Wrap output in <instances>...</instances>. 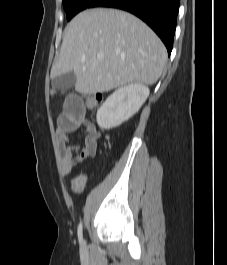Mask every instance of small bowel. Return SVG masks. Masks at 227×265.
Segmentation results:
<instances>
[{
    "mask_svg": "<svg viewBox=\"0 0 227 265\" xmlns=\"http://www.w3.org/2000/svg\"><path fill=\"white\" fill-rule=\"evenodd\" d=\"M65 96L66 99L62 100L64 111L58 118L57 140L62 154L63 172L68 175L77 163L96 155L101 133L93 122L85 118L87 108L83 96H78V91H65ZM80 128L85 132L84 147L67 145L70 135ZM87 180L84 173L76 175L71 181L72 191L75 194L83 192Z\"/></svg>",
    "mask_w": 227,
    "mask_h": 265,
    "instance_id": "1",
    "label": "small bowel"
}]
</instances>
